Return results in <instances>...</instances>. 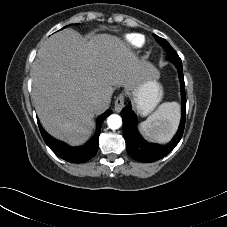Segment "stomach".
Masks as SVG:
<instances>
[{
	"label": "stomach",
	"instance_id": "stomach-1",
	"mask_svg": "<svg viewBox=\"0 0 227 227\" xmlns=\"http://www.w3.org/2000/svg\"><path fill=\"white\" fill-rule=\"evenodd\" d=\"M162 88L156 77H149L131 91L135 109L141 116L148 115L162 98Z\"/></svg>",
	"mask_w": 227,
	"mask_h": 227
}]
</instances>
